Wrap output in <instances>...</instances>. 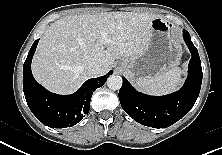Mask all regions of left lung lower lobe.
Listing matches in <instances>:
<instances>
[{
    "mask_svg": "<svg viewBox=\"0 0 222 155\" xmlns=\"http://www.w3.org/2000/svg\"><path fill=\"white\" fill-rule=\"evenodd\" d=\"M183 37L192 57L188 66V77L183 87L165 96H148L137 92L123 77L119 100L123 110L138 123L153 127L166 128L185 116L195 104L201 84L202 67L198 51L184 30Z\"/></svg>",
    "mask_w": 222,
    "mask_h": 155,
    "instance_id": "obj_1",
    "label": "left lung lower lobe"
}]
</instances>
